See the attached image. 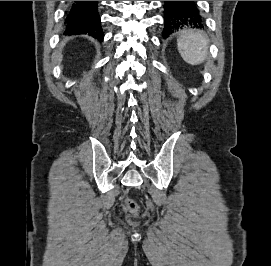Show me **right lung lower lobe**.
I'll return each instance as SVG.
<instances>
[{
    "label": "right lung lower lobe",
    "instance_id": "1",
    "mask_svg": "<svg viewBox=\"0 0 271 266\" xmlns=\"http://www.w3.org/2000/svg\"><path fill=\"white\" fill-rule=\"evenodd\" d=\"M65 25L70 35L88 33L100 40L104 37L98 13V1H74L66 16Z\"/></svg>",
    "mask_w": 271,
    "mask_h": 266
}]
</instances>
